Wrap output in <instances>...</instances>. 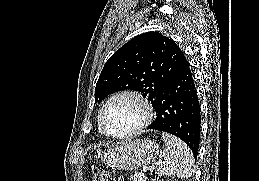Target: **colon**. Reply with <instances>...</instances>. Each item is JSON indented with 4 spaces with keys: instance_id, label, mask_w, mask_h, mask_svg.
<instances>
[{
    "instance_id": "obj_1",
    "label": "colon",
    "mask_w": 259,
    "mask_h": 181,
    "mask_svg": "<svg viewBox=\"0 0 259 181\" xmlns=\"http://www.w3.org/2000/svg\"><path fill=\"white\" fill-rule=\"evenodd\" d=\"M91 181H110L109 174L103 168L95 169L92 172Z\"/></svg>"
}]
</instances>
